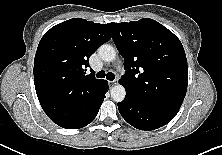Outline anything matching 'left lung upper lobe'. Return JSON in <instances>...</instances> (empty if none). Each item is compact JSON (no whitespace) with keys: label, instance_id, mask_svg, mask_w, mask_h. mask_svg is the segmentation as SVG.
Returning a JSON list of instances; mask_svg holds the SVG:
<instances>
[{"label":"left lung upper lobe","instance_id":"obj_1","mask_svg":"<svg viewBox=\"0 0 222 155\" xmlns=\"http://www.w3.org/2000/svg\"><path fill=\"white\" fill-rule=\"evenodd\" d=\"M124 57L126 75L119 80L126 95L179 111L187 91L188 66L180 40L159 22L143 18L109 23Z\"/></svg>","mask_w":222,"mask_h":155}]
</instances>
